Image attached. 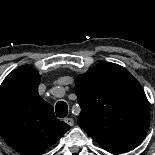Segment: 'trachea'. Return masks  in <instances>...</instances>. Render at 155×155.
Instances as JSON below:
<instances>
[{
	"label": "trachea",
	"mask_w": 155,
	"mask_h": 155,
	"mask_svg": "<svg viewBox=\"0 0 155 155\" xmlns=\"http://www.w3.org/2000/svg\"><path fill=\"white\" fill-rule=\"evenodd\" d=\"M56 115L59 118H64L68 114V106L64 101H59L55 106Z\"/></svg>",
	"instance_id": "obj_1"
}]
</instances>
